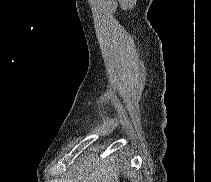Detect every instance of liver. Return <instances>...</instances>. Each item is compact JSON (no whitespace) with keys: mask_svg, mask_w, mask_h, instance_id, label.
I'll use <instances>...</instances> for the list:
<instances>
[{"mask_svg":"<svg viewBox=\"0 0 211 182\" xmlns=\"http://www.w3.org/2000/svg\"><path fill=\"white\" fill-rule=\"evenodd\" d=\"M120 166L115 164L114 159H106L95 165V167L87 172L83 178V182H119L118 175Z\"/></svg>","mask_w":211,"mask_h":182,"instance_id":"liver-1","label":"liver"}]
</instances>
